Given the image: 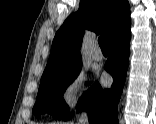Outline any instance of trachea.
Returning <instances> with one entry per match:
<instances>
[{
	"label": "trachea",
	"instance_id": "3493384b",
	"mask_svg": "<svg viewBox=\"0 0 156 124\" xmlns=\"http://www.w3.org/2000/svg\"><path fill=\"white\" fill-rule=\"evenodd\" d=\"M98 43H99L101 50H108V42H107V36L106 35H101L98 38Z\"/></svg>",
	"mask_w": 156,
	"mask_h": 124
}]
</instances>
